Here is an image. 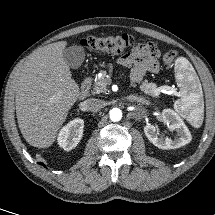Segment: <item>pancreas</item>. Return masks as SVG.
<instances>
[{
	"instance_id": "obj_1",
	"label": "pancreas",
	"mask_w": 215,
	"mask_h": 215,
	"mask_svg": "<svg viewBox=\"0 0 215 215\" xmlns=\"http://www.w3.org/2000/svg\"><path fill=\"white\" fill-rule=\"evenodd\" d=\"M106 76H107V72L102 71L101 76H99L95 79L94 84H93V93L94 94L106 93L107 85H109L111 82V80L109 78H107ZM140 88L142 91H144L145 93H147L149 95L155 96L156 94H158V89H157L156 85L144 82L140 86Z\"/></svg>"
}]
</instances>
